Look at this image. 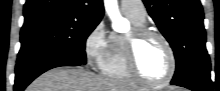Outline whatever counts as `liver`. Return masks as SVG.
Masks as SVG:
<instances>
[{
	"label": "liver",
	"instance_id": "liver-1",
	"mask_svg": "<svg viewBox=\"0 0 220 91\" xmlns=\"http://www.w3.org/2000/svg\"><path fill=\"white\" fill-rule=\"evenodd\" d=\"M26 91H137V89L131 84L98 76L80 67H59L39 76Z\"/></svg>",
	"mask_w": 220,
	"mask_h": 91
}]
</instances>
